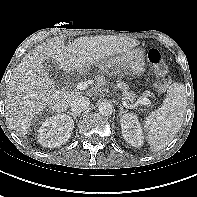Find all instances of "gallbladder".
<instances>
[{
    "label": "gallbladder",
    "mask_w": 197,
    "mask_h": 197,
    "mask_svg": "<svg viewBox=\"0 0 197 197\" xmlns=\"http://www.w3.org/2000/svg\"><path fill=\"white\" fill-rule=\"evenodd\" d=\"M44 69L48 72V73H52V71L54 70H58V66L56 65L55 62H50L47 61L44 63Z\"/></svg>",
    "instance_id": "1"
}]
</instances>
